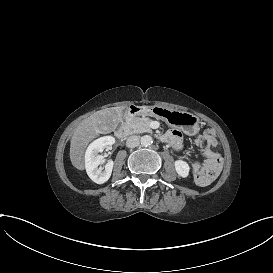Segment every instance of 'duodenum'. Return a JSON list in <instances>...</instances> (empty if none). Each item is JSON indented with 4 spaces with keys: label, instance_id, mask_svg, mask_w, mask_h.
Here are the masks:
<instances>
[{
    "label": "duodenum",
    "instance_id": "obj_1",
    "mask_svg": "<svg viewBox=\"0 0 273 273\" xmlns=\"http://www.w3.org/2000/svg\"><path fill=\"white\" fill-rule=\"evenodd\" d=\"M144 112H145V109L143 108L131 106L128 109L127 117L130 118L132 116H135L137 114L144 113ZM127 135H128V128L126 126H121L116 131V136L118 139H124Z\"/></svg>",
    "mask_w": 273,
    "mask_h": 273
}]
</instances>
